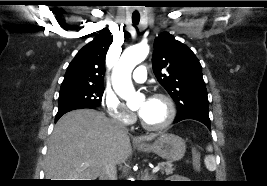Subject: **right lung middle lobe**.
Returning a JSON list of instances; mask_svg holds the SVG:
<instances>
[{
    "instance_id": "1",
    "label": "right lung middle lobe",
    "mask_w": 267,
    "mask_h": 186,
    "mask_svg": "<svg viewBox=\"0 0 267 186\" xmlns=\"http://www.w3.org/2000/svg\"><path fill=\"white\" fill-rule=\"evenodd\" d=\"M103 92L104 86H61L58 99L59 110L80 106L98 107L101 104Z\"/></svg>"
}]
</instances>
